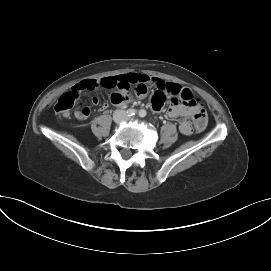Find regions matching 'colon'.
Segmentation results:
<instances>
[{"instance_id": "5ec220e1", "label": "colon", "mask_w": 271, "mask_h": 271, "mask_svg": "<svg viewBox=\"0 0 271 271\" xmlns=\"http://www.w3.org/2000/svg\"><path fill=\"white\" fill-rule=\"evenodd\" d=\"M80 92L81 91L79 89H73L72 91L62 94L55 104V112L58 115L68 117L76 106ZM181 98L183 101L196 104L199 107L198 112L193 117V121L196 131L202 132L207 125V115L205 110L202 108L198 100L193 99L189 95L184 94Z\"/></svg>"}]
</instances>
